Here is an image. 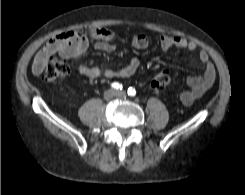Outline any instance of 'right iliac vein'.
Returning <instances> with one entry per match:
<instances>
[{
  "label": "right iliac vein",
  "instance_id": "1",
  "mask_svg": "<svg viewBox=\"0 0 245 195\" xmlns=\"http://www.w3.org/2000/svg\"><path fill=\"white\" fill-rule=\"evenodd\" d=\"M114 96H116V91L115 90H107L104 93V99L106 100H110L112 99Z\"/></svg>",
  "mask_w": 245,
  "mask_h": 195
}]
</instances>
